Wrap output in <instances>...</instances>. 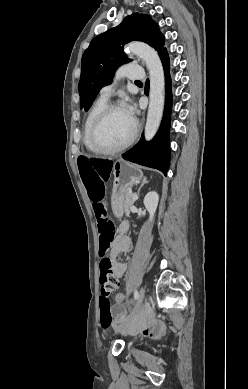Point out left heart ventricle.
I'll list each match as a JSON object with an SVG mask.
<instances>
[{
    "label": "left heart ventricle",
    "mask_w": 248,
    "mask_h": 389,
    "mask_svg": "<svg viewBox=\"0 0 248 389\" xmlns=\"http://www.w3.org/2000/svg\"><path fill=\"white\" fill-rule=\"evenodd\" d=\"M134 122L124 109L113 110L98 131L99 142L113 147L125 142L132 134Z\"/></svg>",
    "instance_id": "obj_1"
}]
</instances>
